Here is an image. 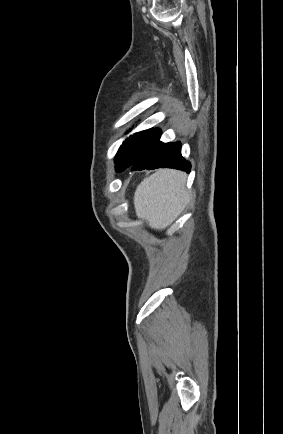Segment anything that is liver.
<instances>
[{
    "mask_svg": "<svg viewBox=\"0 0 283 434\" xmlns=\"http://www.w3.org/2000/svg\"><path fill=\"white\" fill-rule=\"evenodd\" d=\"M186 174L172 169H159L136 188L134 207L138 218L162 230L182 213L189 201L185 188Z\"/></svg>",
    "mask_w": 283,
    "mask_h": 434,
    "instance_id": "1",
    "label": "liver"
}]
</instances>
